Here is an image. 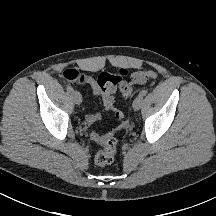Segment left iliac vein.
Here are the masks:
<instances>
[{
    "mask_svg": "<svg viewBox=\"0 0 216 216\" xmlns=\"http://www.w3.org/2000/svg\"><path fill=\"white\" fill-rule=\"evenodd\" d=\"M141 105H142V97L138 96L133 101V109L137 111L141 108Z\"/></svg>",
    "mask_w": 216,
    "mask_h": 216,
    "instance_id": "1",
    "label": "left iliac vein"
}]
</instances>
